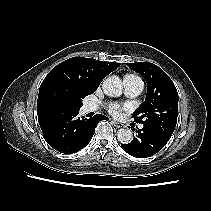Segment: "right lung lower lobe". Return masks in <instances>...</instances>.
<instances>
[{
  "instance_id": "right-lung-lower-lobe-1",
  "label": "right lung lower lobe",
  "mask_w": 211,
  "mask_h": 211,
  "mask_svg": "<svg viewBox=\"0 0 211 211\" xmlns=\"http://www.w3.org/2000/svg\"><path fill=\"white\" fill-rule=\"evenodd\" d=\"M79 111L58 110L39 117V125L46 142L55 150L72 154L84 148L91 140L97 123L106 116L78 117Z\"/></svg>"
}]
</instances>
